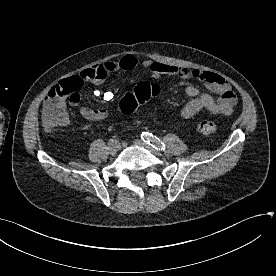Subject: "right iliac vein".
<instances>
[{"label": "right iliac vein", "mask_w": 276, "mask_h": 276, "mask_svg": "<svg viewBox=\"0 0 276 276\" xmlns=\"http://www.w3.org/2000/svg\"><path fill=\"white\" fill-rule=\"evenodd\" d=\"M120 148V145H109V152L111 154H116V152L119 151Z\"/></svg>", "instance_id": "63e3f726"}]
</instances>
